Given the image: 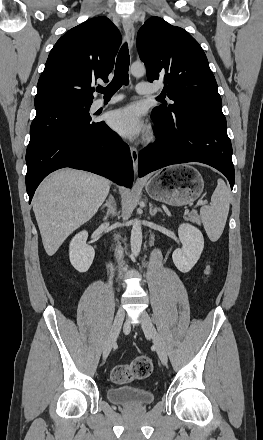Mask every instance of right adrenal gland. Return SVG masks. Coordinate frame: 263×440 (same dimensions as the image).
Instances as JSON below:
<instances>
[{"mask_svg":"<svg viewBox=\"0 0 263 440\" xmlns=\"http://www.w3.org/2000/svg\"><path fill=\"white\" fill-rule=\"evenodd\" d=\"M107 208L106 215L103 217V220H107V218L114 214V200L112 195L108 196V199L104 205H102L101 209Z\"/></svg>","mask_w":263,"mask_h":440,"instance_id":"obj_1","label":"right adrenal gland"}]
</instances>
